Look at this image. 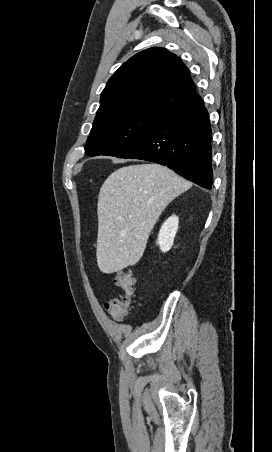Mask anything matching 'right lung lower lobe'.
Instances as JSON below:
<instances>
[{
  "label": "right lung lower lobe",
  "mask_w": 272,
  "mask_h": 452,
  "mask_svg": "<svg viewBox=\"0 0 272 452\" xmlns=\"http://www.w3.org/2000/svg\"><path fill=\"white\" fill-rule=\"evenodd\" d=\"M212 131L204 102L195 94L187 103L161 114L118 158L165 165L182 177L211 189Z\"/></svg>",
  "instance_id": "1"
}]
</instances>
